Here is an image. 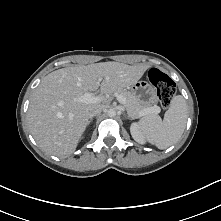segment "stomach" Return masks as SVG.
<instances>
[{
  "mask_svg": "<svg viewBox=\"0 0 221 221\" xmlns=\"http://www.w3.org/2000/svg\"><path fill=\"white\" fill-rule=\"evenodd\" d=\"M130 91L144 106H151L155 102L154 89L146 81L135 82L133 85L130 86Z\"/></svg>",
  "mask_w": 221,
  "mask_h": 221,
  "instance_id": "1",
  "label": "stomach"
}]
</instances>
